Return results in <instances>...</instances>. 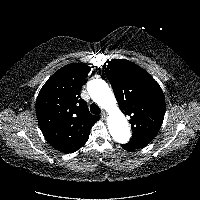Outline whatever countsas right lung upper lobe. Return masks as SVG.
<instances>
[{"mask_svg":"<svg viewBox=\"0 0 200 200\" xmlns=\"http://www.w3.org/2000/svg\"><path fill=\"white\" fill-rule=\"evenodd\" d=\"M89 67L68 64L55 72L36 100L39 126L48 143L58 151L73 153L88 140L99 116L92 115L80 90Z\"/></svg>","mask_w":200,"mask_h":200,"instance_id":"1","label":"right lung upper lobe"}]
</instances>
